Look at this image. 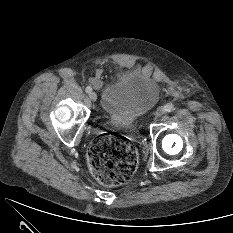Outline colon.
Wrapping results in <instances>:
<instances>
[{"mask_svg": "<svg viewBox=\"0 0 233 233\" xmlns=\"http://www.w3.org/2000/svg\"><path fill=\"white\" fill-rule=\"evenodd\" d=\"M88 162L96 179L106 186L127 182L136 171L138 158L131 141L116 133L95 137L88 149Z\"/></svg>", "mask_w": 233, "mask_h": 233, "instance_id": "5ec220e1", "label": "colon"}]
</instances>
